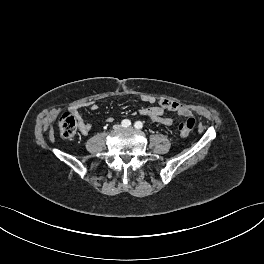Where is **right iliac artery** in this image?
Returning a JSON list of instances; mask_svg holds the SVG:
<instances>
[{
    "label": "right iliac artery",
    "instance_id": "1",
    "mask_svg": "<svg viewBox=\"0 0 264 264\" xmlns=\"http://www.w3.org/2000/svg\"><path fill=\"white\" fill-rule=\"evenodd\" d=\"M121 125L123 127H129L131 125V121L128 119H124V120H122Z\"/></svg>",
    "mask_w": 264,
    "mask_h": 264
}]
</instances>
